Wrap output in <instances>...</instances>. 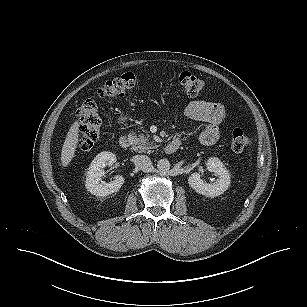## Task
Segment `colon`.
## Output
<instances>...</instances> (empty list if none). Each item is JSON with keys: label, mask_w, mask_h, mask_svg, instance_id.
<instances>
[{"label": "colon", "mask_w": 307, "mask_h": 307, "mask_svg": "<svg viewBox=\"0 0 307 307\" xmlns=\"http://www.w3.org/2000/svg\"><path fill=\"white\" fill-rule=\"evenodd\" d=\"M137 77L132 73L123 74L106 82L97 90L100 99H113L123 97L130 93L137 83ZM175 80L181 92L188 97L202 95L207 90V81L190 72L175 73ZM80 126L78 129V149L86 152L91 150L99 140L102 127V119L96 103L93 100L85 101L78 110ZM254 138L247 136L241 129L236 128L231 134V148L235 152H241L254 144Z\"/></svg>", "instance_id": "5ec220e1"}]
</instances>
